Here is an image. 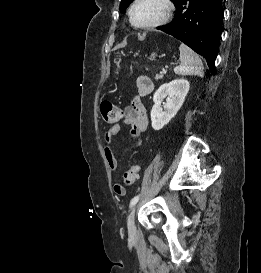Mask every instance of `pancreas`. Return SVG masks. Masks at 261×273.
<instances>
[{"instance_id":"1","label":"pancreas","mask_w":261,"mask_h":273,"mask_svg":"<svg viewBox=\"0 0 261 273\" xmlns=\"http://www.w3.org/2000/svg\"><path fill=\"white\" fill-rule=\"evenodd\" d=\"M162 78H163V75H162V74H160V75L157 74L156 77H155L156 80H159V79H162Z\"/></svg>"}]
</instances>
